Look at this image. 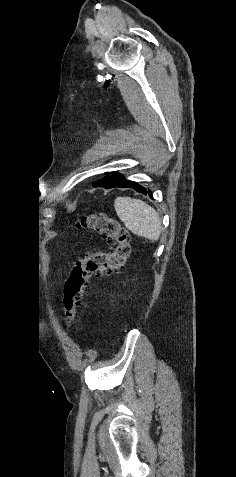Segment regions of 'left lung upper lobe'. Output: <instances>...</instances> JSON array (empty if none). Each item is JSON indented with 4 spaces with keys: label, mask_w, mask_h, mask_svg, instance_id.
Segmentation results:
<instances>
[{
    "label": "left lung upper lobe",
    "mask_w": 236,
    "mask_h": 477,
    "mask_svg": "<svg viewBox=\"0 0 236 477\" xmlns=\"http://www.w3.org/2000/svg\"><path fill=\"white\" fill-rule=\"evenodd\" d=\"M106 175L107 176L103 178L102 180L94 182L93 183L94 187H104V188L110 189V188H113L116 184L126 181L123 175L117 172H107Z\"/></svg>",
    "instance_id": "1"
}]
</instances>
